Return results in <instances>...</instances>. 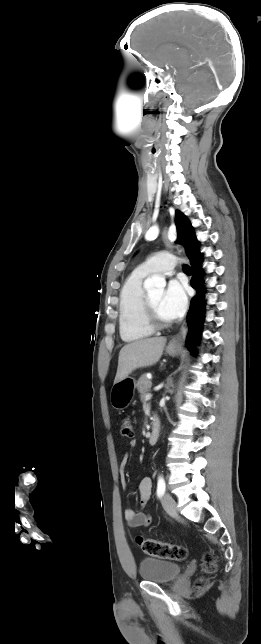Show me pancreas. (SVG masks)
I'll use <instances>...</instances> for the list:
<instances>
[{"mask_svg":"<svg viewBox=\"0 0 261 644\" xmlns=\"http://www.w3.org/2000/svg\"><path fill=\"white\" fill-rule=\"evenodd\" d=\"M137 389L140 393V398L143 401L144 397L148 394L151 389L152 383L147 378L146 375H142L137 382Z\"/></svg>","mask_w":261,"mask_h":644,"instance_id":"pancreas-1","label":"pancreas"}]
</instances>
